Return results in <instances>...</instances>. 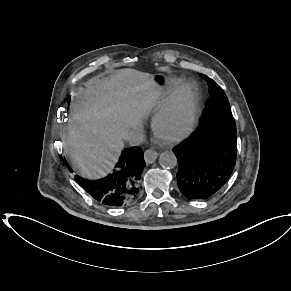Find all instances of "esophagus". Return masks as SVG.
Here are the masks:
<instances>
[{
  "label": "esophagus",
  "mask_w": 291,
  "mask_h": 291,
  "mask_svg": "<svg viewBox=\"0 0 291 291\" xmlns=\"http://www.w3.org/2000/svg\"><path fill=\"white\" fill-rule=\"evenodd\" d=\"M158 153L153 149H148L144 153V159L147 164L153 163L157 159Z\"/></svg>",
  "instance_id": "esophagus-1"
}]
</instances>
